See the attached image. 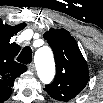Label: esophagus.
Returning a JSON list of instances; mask_svg holds the SVG:
<instances>
[{"instance_id": "esophagus-1", "label": "esophagus", "mask_w": 103, "mask_h": 103, "mask_svg": "<svg viewBox=\"0 0 103 103\" xmlns=\"http://www.w3.org/2000/svg\"><path fill=\"white\" fill-rule=\"evenodd\" d=\"M28 70L31 71V72L35 71V65H34V63H30L28 65Z\"/></svg>"}]
</instances>
